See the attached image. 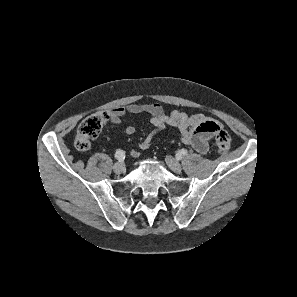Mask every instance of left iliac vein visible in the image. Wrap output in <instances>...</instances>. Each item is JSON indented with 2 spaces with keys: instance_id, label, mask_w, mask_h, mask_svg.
<instances>
[{
  "instance_id": "obj_1",
  "label": "left iliac vein",
  "mask_w": 297,
  "mask_h": 297,
  "mask_svg": "<svg viewBox=\"0 0 297 297\" xmlns=\"http://www.w3.org/2000/svg\"><path fill=\"white\" fill-rule=\"evenodd\" d=\"M165 161L172 171L177 173L181 172L182 167L175 158H173L172 156H166Z\"/></svg>"
}]
</instances>
